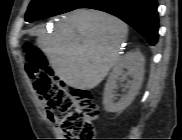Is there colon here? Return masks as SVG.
I'll list each match as a JSON object with an SVG mask.
<instances>
[{
    "label": "colon",
    "instance_id": "colon-1",
    "mask_svg": "<svg viewBox=\"0 0 182 140\" xmlns=\"http://www.w3.org/2000/svg\"><path fill=\"white\" fill-rule=\"evenodd\" d=\"M25 52V70L40 100L58 112L61 132L75 140H93V122L100 110L92 93L85 89H67L53 76L40 50L26 45Z\"/></svg>",
    "mask_w": 182,
    "mask_h": 140
}]
</instances>
